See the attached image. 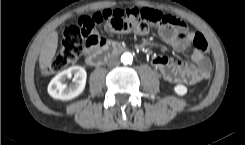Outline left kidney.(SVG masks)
<instances>
[{"label":"left kidney","mask_w":245,"mask_h":145,"mask_svg":"<svg viewBox=\"0 0 245 145\" xmlns=\"http://www.w3.org/2000/svg\"><path fill=\"white\" fill-rule=\"evenodd\" d=\"M174 91L176 94L183 96L187 93V87L182 84H178L174 87Z\"/></svg>","instance_id":"1"}]
</instances>
